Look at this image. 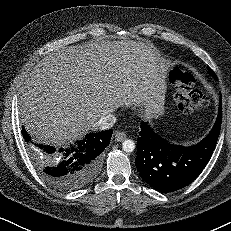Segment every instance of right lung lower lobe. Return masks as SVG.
Here are the masks:
<instances>
[{"mask_svg": "<svg viewBox=\"0 0 231 231\" xmlns=\"http://www.w3.org/2000/svg\"><path fill=\"white\" fill-rule=\"evenodd\" d=\"M22 134L44 179L59 190L74 191L89 184L99 173L112 130L89 133L83 140L59 149L34 143L24 128Z\"/></svg>", "mask_w": 231, "mask_h": 231, "instance_id": "obj_1", "label": "right lung lower lobe"}]
</instances>
